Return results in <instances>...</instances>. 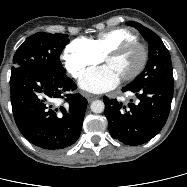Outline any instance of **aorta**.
Returning <instances> with one entry per match:
<instances>
[{
	"label": "aorta",
	"instance_id": "762f6f07",
	"mask_svg": "<svg viewBox=\"0 0 187 187\" xmlns=\"http://www.w3.org/2000/svg\"><path fill=\"white\" fill-rule=\"evenodd\" d=\"M90 108L93 113H102L105 109V104L101 100H95L91 103Z\"/></svg>",
	"mask_w": 187,
	"mask_h": 187
}]
</instances>
